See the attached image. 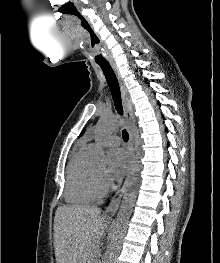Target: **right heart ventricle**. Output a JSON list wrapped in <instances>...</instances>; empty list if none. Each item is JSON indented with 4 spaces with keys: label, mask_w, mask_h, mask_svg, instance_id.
<instances>
[{
    "label": "right heart ventricle",
    "mask_w": 220,
    "mask_h": 263,
    "mask_svg": "<svg viewBox=\"0 0 220 263\" xmlns=\"http://www.w3.org/2000/svg\"><path fill=\"white\" fill-rule=\"evenodd\" d=\"M92 153L93 150L88 146H82L69 161L64 192L65 200L69 204H89L99 197L92 187Z\"/></svg>",
    "instance_id": "1"
}]
</instances>
